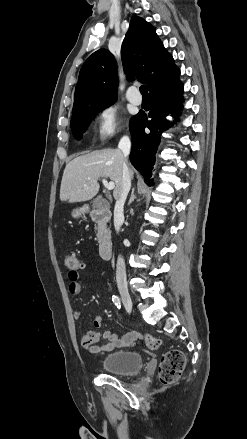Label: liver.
I'll use <instances>...</instances> for the list:
<instances>
[{
  "label": "liver",
  "mask_w": 247,
  "mask_h": 439,
  "mask_svg": "<svg viewBox=\"0 0 247 439\" xmlns=\"http://www.w3.org/2000/svg\"><path fill=\"white\" fill-rule=\"evenodd\" d=\"M124 155L119 149H101L78 156L65 167L60 200L69 203L92 199L99 191L98 180L109 178L115 183L113 196L118 199L122 190V164ZM130 177L133 170L129 168Z\"/></svg>",
  "instance_id": "6515ba94"
}]
</instances>
